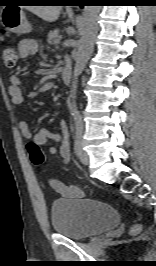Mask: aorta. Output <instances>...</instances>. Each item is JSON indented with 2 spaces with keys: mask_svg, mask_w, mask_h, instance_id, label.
<instances>
[{
  "mask_svg": "<svg viewBox=\"0 0 156 266\" xmlns=\"http://www.w3.org/2000/svg\"><path fill=\"white\" fill-rule=\"evenodd\" d=\"M100 6H85L80 25L81 38L78 44V51L73 71V81L71 85V110L78 114L76 106V93L78 87V77L82 74L94 48L95 37L98 31V18Z\"/></svg>",
  "mask_w": 156,
  "mask_h": 266,
  "instance_id": "obj_1",
  "label": "aorta"
}]
</instances>
